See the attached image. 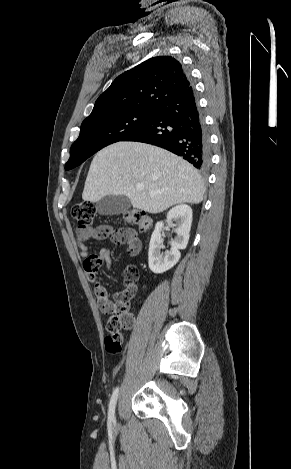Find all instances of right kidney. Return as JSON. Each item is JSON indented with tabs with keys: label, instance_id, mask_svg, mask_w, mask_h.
<instances>
[{
	"label": "right kidney",
	"instance_id": "ca27d5eb",
	"mask_svg": "<svg viewBox=\"0 0 291 469\" xmlns=\"http://www.w3.org/2000/svg\"><path fill=\"white\" fill-rule=\"evenodd\" d=\"M175 222L176 237L171 243V250L165 254L161 253L163 246L162 229L164 223L157 222L152 233L149 244V268L153 273L161 274L171 269L180 259V250L186 248L189 241V232L192 223V209L185 204L172 208L167 216L166 222Z\"/></svg>",
	"mask_w": 291,
	"mask_h": 469
}]
</instances>
